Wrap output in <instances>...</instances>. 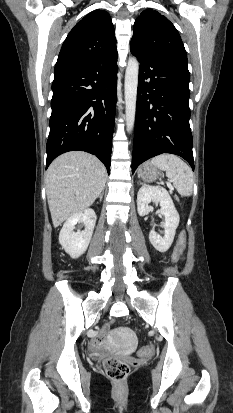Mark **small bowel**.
Wrapping results in <instances>:
<instances>
[{
	"instance_id": "1",
	"label": "small bowel",
	"mask_w": 233,
	"mask_h": 413,
	"mask_svg": "<svg viewBox=\"0 0 233 413\" xmlns=\"http://www.w3.org/2000/svg\"><path fill=\"white\" fill-rule=\"evenodd\" d=\"M102 344H103V336H100V337L96 338V339L93 341V346H94L96 349L100 348V347L102 346Z\"/></svg>"
}]
</instances>
